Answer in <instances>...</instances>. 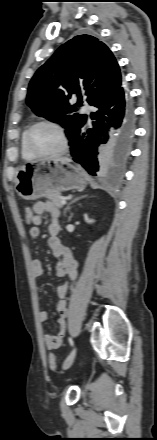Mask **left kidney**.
<instances>
[{"label": "left kidney", "instance_id": "5707ae66", "mask_svg": "<svg viewBox=\"0 0 157 440\" xmlns=\"http://www.w3.org/2000/svg\"><path fill=\"white\" fill-rule=\"evenodd\" d=\"M84 219H85V221L87 223H93L94 222V220L88 218L87 214L84 215Z\"/></svg>", "mask_w": 157, "mask_h": 440}]
</instances>
